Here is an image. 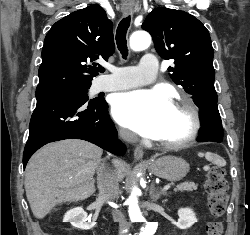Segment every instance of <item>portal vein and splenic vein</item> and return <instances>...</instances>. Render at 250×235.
Listing matches in <instances>:
<instances>
[{
    "mask_svg": "<svg viewBox=\"0 0 250 235\" xmlns=\"http://www.w3.org/2000/svg\"><path fill=\"white\" fill-rule=\"evenodd\" d=\"M170 187H171L170 185H166V186L163 188V191L165 192V191L169 190Z\"/></svg>",
    "mask_w": 250,
    "mask_h": 235,
    "instance_id": "18ae733b",
    "label": "portal vein and splenic vein"
}]
</instances>
